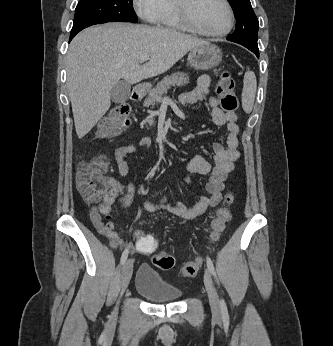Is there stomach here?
I'll list each match as a JSON object with an SVG mask.
<instances>
[{"mask_svg": "<svg viewBox=\"0 0 333 346\" xmlns=\"http://www.w3.org/2000/svg\"><path fill=\"white\" fill-rule=\"evenodd\" d=\"M188 63L196 70H209L216 67L222 60L221 50L213 44H204L190 50ZM151 84L145 83L139 88L142 95L149 92Z\"/></svg>", "mask_w": 333, "mask_h": 346, "instance_id": "1", "label": "stomach"}]
</instances>
